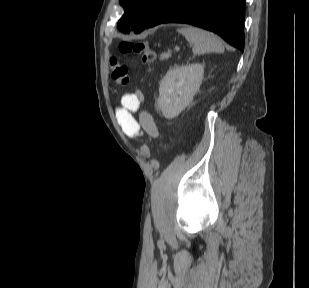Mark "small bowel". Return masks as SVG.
I'll return each mask as SVG.
<instances>
[{"mask_svg":"<svg viewBox=\"0 0 309 288\" xmlns=\"http://www.w3.org/2000/svg\"><path fill=\"white\" fill-rule=\"evenodd\" d=\"M141 95L126 93L122 96L120 107L116 109L117 120L123 133L128 137H137L143 132L152 137L158 136V129L153 117L147 112H141L138 119L133 114L139 110Z\"/></svg>","mask_w":309,"mask_h":288,"instance_id":"1","label":"small bowel"}]
</instances>
